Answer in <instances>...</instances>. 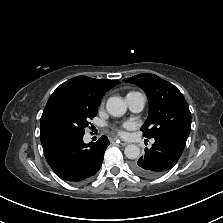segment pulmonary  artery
Instances as JSON below:
<instances>
[{
  "mask_svg": "<svg viewBox=\"0 0 223 223\" xmlns=\"http://www.w3.org/2000/svg\"><path fill=\"white\" fill-rule=\"evenodd\" d=\"M126 100L129 106V109L134 113H139L143 110L146 98L140 92H131L126 96Z\"/></svg>",
  "mask_w": 223,
  "mask_h": 223,
  "instance_id": "obj_1",
  "label": "pulmonary artery"
}]
</instances>
